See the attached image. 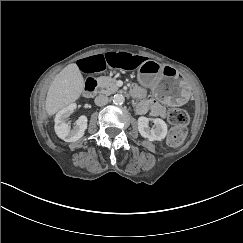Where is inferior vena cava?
<instances>
[{"mask_svg":"<svg viewBox=\"0 0 243 243\" xmlns=\"http://www.w3.org/2000/svg\"><path fill=\"white\" fill-rule=\"evenodd\" d=\"M94 101L97 106H105L108 103V97L100 94L96 96Z\"/></svg>","mask_w":243,"mask_h":243,"instance_id":"inferior-vena-cava-1","label":"inferior vena cava"}]
</instances>
